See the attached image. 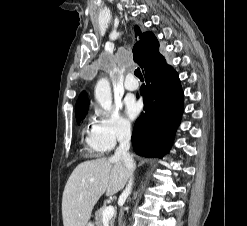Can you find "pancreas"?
<instances>
[{
    "label": "pancreas",
    "mask_w": 247,
    "mask_h": 226,
    "mask_svg": "<svg viewBox=\"0 0 247 226\" xmlns=\"http://www.w3.org/2000/svg\"><path fill=\"white\" fill-rule=\"evenodd\" d=\"M106 206L104 205L100 209H98L95 213V223L97 226H103V211L105 210ZM115 217H112L109 221V226H114Z\"/></svg>",
    "instance_id": "cf45deb5"
}]
</instances>
